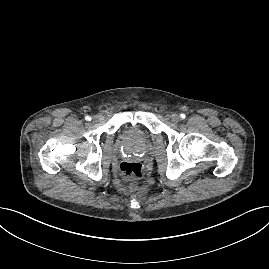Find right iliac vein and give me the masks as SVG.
<instances>
[{"mask_svg": "<svg viewBox=\"0 0 269 269\" xmlns=\"http://www.w3.org/2000/svg\"><path fill=\"white\" fill-rule=\"evenodd\" d=\"M98 120H99V117H98V116L94 115V116L92 117V122H93V123H97Z\"/></svg>", "mask_w": 269, "mask_h": 269, "instance_id": "1", "label": "right iliac vein"}]
</instances>
